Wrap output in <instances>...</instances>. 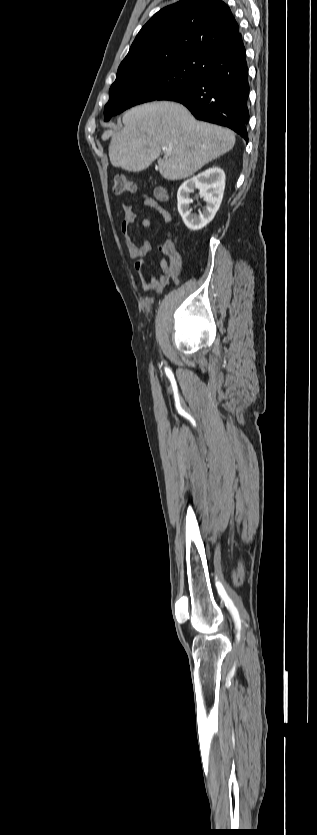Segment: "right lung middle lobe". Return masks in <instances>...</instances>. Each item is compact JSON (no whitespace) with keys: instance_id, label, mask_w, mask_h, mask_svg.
<instances>
[{"instance_id":"obj_1","label":"right lung middle lobe","mask_w":317,"mask_h":835,"mask_svg":"<svg viewBox=\"0 0 317 835\" xmlns=\"http://www.w3.org/2000/svg\"><path fill=\"white\" fill-rule=\"evenodd\" d=\"M201 67L200 61L191 57L117 76L104 107L105 121L132 106L158 100L170 91L200 79Z\"/></svg>"}]
</instances>
